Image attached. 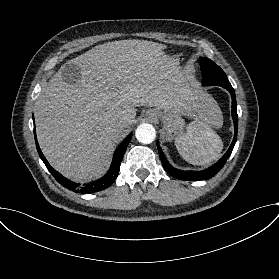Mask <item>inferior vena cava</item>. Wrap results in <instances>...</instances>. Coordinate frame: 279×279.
<instances>
[{
  "instance_id": "obj_1",
  "label": "inferior vena cava",
  "mask_w": 279,
  "mask_h": 279,
  "mask_svg": "<svg viewBox=\"0 0 279 279\" xmlns=\"http://www.w3.org/2000/svg\"><path fill=\"white\" fill-rule=\"evenodd\" d=\"M126 124H127V121L124 120V119H121V120H120V123H119L118 126L116 127L117 130L120 131L121 125H126Z\"/></svg>"
}]
</instances>
